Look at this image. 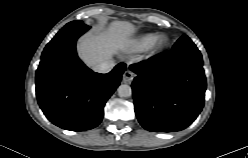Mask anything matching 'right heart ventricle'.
I'll return each mask as SVG.
<instances>
[{
	"mask_svg": "<svg viewBox=\"0 0 248 158\" xmlns=\"http://www.w3.org/2000/svg\"><path fill=\"white\" fill-rule=\"evenodd\" d=\"M155 35L146 34L142 35L130 42V49L132 51H143L150 47Z\"/></svg>",
	"mask_w": 248,
	"mask_h": 158,
	"instance_id": "1",
	"label": "right heart ventricle"
}]
</instances>
